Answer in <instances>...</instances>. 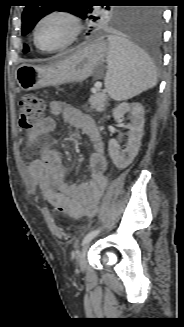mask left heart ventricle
<instances>
[{
  "label": "left heart ventricle",
  "instance_id": "b2bd125f",
  "mask_svg": "<svg viewBox=\"0 0 184 327\" xmlns=\"http://www.w3.org/2000/svg\"><path fill=\"white\" fill-rule=\"evenodd\" d=\"M69 22L62 17L45 20L38 29V42L44 48H54L63 44L70 36Z\"/></svg>",
  "mask_w": 184,
  "mask_h": 327
}]
</instances>
